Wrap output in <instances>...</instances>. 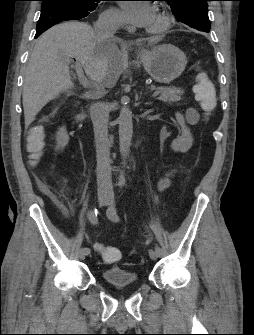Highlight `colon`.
Here are the masks:
<instances>
[{
    "label": "colon",
    "instance_id": "1",
    "mask_svg": "<svg viewBox=\"0 0 254 335\" xmlns=\"http://www.w3.org/2000/svg\"><path fill=\"white\" fill-rule=\"evenodd\" d=\"M193 91L196 100L200 104L205 115L212 114L217 107L216 91L213 82L207 78L204 72L197 71ZM32 138L34 141L28 143V158L26 164L29 166L30 172H39L40 166L43 164V151L45 145L42 141H37L44 136V127L37 125L32 130ZM100 254L103 260L107 263H114L120 260L121 253L118 248L108 246L100 249Z\"/></svg>",
    "mask_w": 254,
    "mask_h": 335
}]
</instances>
